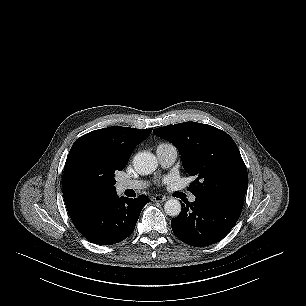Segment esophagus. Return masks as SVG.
I'll list each match as a JSON object with an SVG mask.
<instances>
[{"label":"esophagus","mask_w":306,"mask_h":306,"mask_svg":"<svg viewBox=\"0 0 306 306\" xmlns=\"http://www.w3.org/2000/svg\"><path fill=\"white\" fill-rule=\"evenodd\" d=\"M151 200L153 202H164V201H166V197L165 196L155 195V196H152Z\"/></svg>","instance_id":"34e87169"}]
</instances>
